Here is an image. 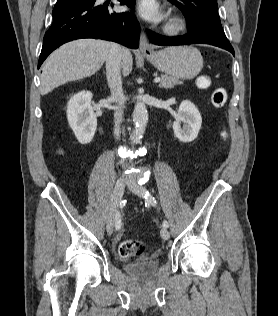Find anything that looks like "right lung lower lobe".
<instances>
[{
    "instance_id": "obj_1",
    "label": "right lung lower lobe",
    "mask_w": 278,
    "mask_h": 316,
    "mask_svg": "<svg viewBox=\"0 0 278 316\" xmlns=\"http://www.w3.org/2000/svg\"><path fill=\"white\" fill-rule=\"evenodd\" d=\"M134 6L135 0H119ZM96 0H58L53 9V24L43 40L38 68L60 45L81 38H97L138 48L140 26L131 13L110 11L114 4H96Z\"/></svg>"
}]
</instances>
